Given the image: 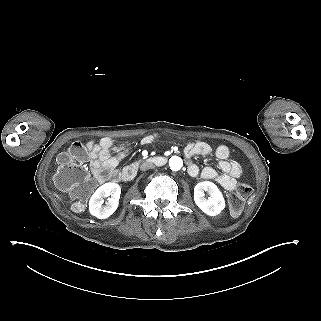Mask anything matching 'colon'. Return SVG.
<instances>
[{
    "label": "colon",
    "mask_w": 321,
    "mask_h": 321,
    "mask_svg": "<svg viewBox=\"0 0 321 321\" xmlns=\"http://www.w3.org/2000/svg\"><path fill=\"white\" fill-rule=\"evenodd\" d=\"M88 159L87 146L82 142H74L58 157V170L55 175L56 184L68 190L72 196L71 207L74 211H82L94 183L83 168ZM252 188L248 184L237 186L229 198L230 212L233 216L241 214L246 199L251 195Z\"/></svg>",
    "instance_id": "1"
}]
</instances>
